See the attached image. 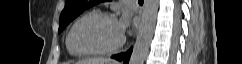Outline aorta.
I'll use <instances>...</instances> for the list:
<instances>
[{
  "label": "aorta",
  "instance_id": "1",
  "mask_svg": "<svg viewBox=\"0 0 242 64\" xmlns=\"http://www.w3.org/2000/svg\"><path fill=\"white\" fill-rule=\"evenodd\" d=\"M158 7V0H145L141 24L129 64H144L154 35Z\"/></svg>",
  "mask_w": 242,
  "mask_h": 64
}]
</instances>
